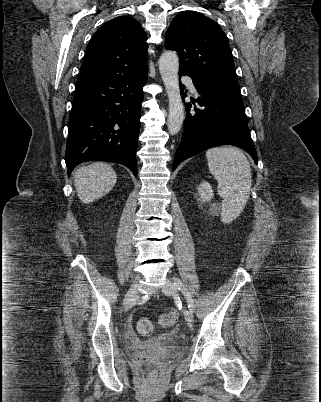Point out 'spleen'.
Wrapping results in <instances>:
<instances>
[{
  "label": "spleen",
  "mask_w": 321,
  "mask_h": 402,
  "mask_svg": "<svg viewBox=\"0 0 321 402\" xmlns=\"http://www.w3.org/2000/svg\"><path fill=\"white\" fill-rule=\"evenodd\" d=\"M211 174L218 182V194L223 198L222 220L230 222L244 209L251 190V166L244 153L235 147H215L207 150Z\"/></svg>",
  "instance_id": "1"
}]
</instances>
